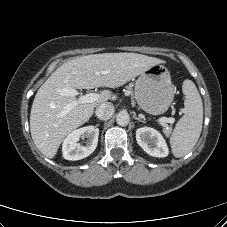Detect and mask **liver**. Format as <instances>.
<instances>
[{
  "label": "liver",
  "instance_id": "1",
  "mask_svg": "<svg viewBox=\"0 0 227 227\" xmlns=\"http://www.w3.org/2000/svg\"><path fill=\"white\" fill-rule=\"evenodd\" d=\"M163 60L137 53H103L77 57L58 67L38 89L30 113V131L39 151L54 158L64 138L87 122L94 108L107 102L103 91L93 103L77 104L68 113L64 108L77 101L76 95L62 96L63 88H117ZM106 72V73H102Z\"/></svg>",
  "mask_w": 227,
  "mask_h": 227
}]
</instances>
